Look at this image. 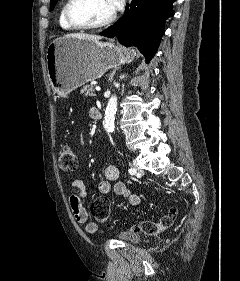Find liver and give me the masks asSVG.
Instances as JSON below:
<instances>
[{
    "mask_svg": "<svg viewBox=\"0 0 240 281\" xmlns=\"http://www.w3.org/2000/svg\"><path fill=\"white\" fill-rule=\"evenodd\" d=\"M64 37H76V38H82V39H87V40H91V41H99L101 39L100 36L89 35V34H84V33H72V34H67Z\"/></svg>",
    "mask_w": 240,
    "mask_h": 281,
    "instance_id": "liver-1",
    "label": "liver"
}]
</instances>
